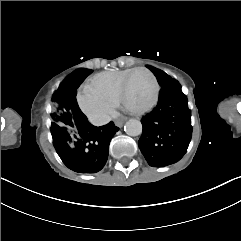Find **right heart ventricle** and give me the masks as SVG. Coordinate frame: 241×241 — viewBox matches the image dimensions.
Here are the masks:
<instances>
[{"mask_svg": "<svg viewBox=\"0 0 241 241\" xmlns=\"http://www.w3.org/2000/svg\"><path fill=\"white\" fill-rule=\"evenodd\" d=\"M135 69H127V70H111L104 71L98 74H95L91 78H89L85 84L92 83L96 87L100 89V91L104 94L109 95L117 104L118 100L121 98V86L122 79L124 75H129ZM132 79V78H131ZM129 81V80H128ZM84 84V85H85ZM129 94V92H127Z\"/></svg>", "mask_w": 241, "mask_h": 241, "instance_id": "1", "label": "right heart ventricle"}]
</instances>
